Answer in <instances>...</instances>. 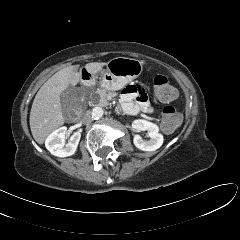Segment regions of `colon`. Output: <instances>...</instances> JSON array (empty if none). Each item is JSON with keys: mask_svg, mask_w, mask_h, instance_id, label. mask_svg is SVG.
Here are the masks:
<instances>
[{"mask_svg": "<svg viewBox=\"0 0 240 240\" xmlns=\"http://www.w3.org/2000/svg\"><path fill=\"white\" fill-rule=\"evenodd\" d=\"M155 97L163 103H169L176 99L177 89L167 77L157 75L153 79ZM181 123V115L171 106L163 109L161 127L165 132H173Z\"/></svg>", "mask_w": 240, "mask_h": 240, "instance_id": "5ec220e1", "label": "colon"}]
</instances>
